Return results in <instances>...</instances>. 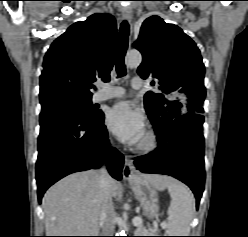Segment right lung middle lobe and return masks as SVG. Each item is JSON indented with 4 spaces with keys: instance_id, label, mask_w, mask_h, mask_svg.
<instances>
[{
    "instance_id": "right-lung-middle-lobe-1",
    "label": "right lung middle lobe",
    "mask_w": 248,
    "mask_h": 237,
    "mask_svg": "<svg viewBox=\"0 0 248 237\" xmlns=\"http://www.w3.org/2000/svg\"><path fill=\"white\" fill-rule=\"evenodd\" d=\"M42 105L41 112L70 111L80 115L93 116L99 113L92 107L91 99L58 98Z\"/></svg>"
}]
</instances>
